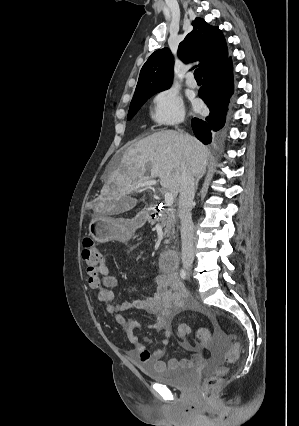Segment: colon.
<instances>
[{
	"mask_svg": "<svg viewBox=\"0 0 299 426\" xmlns=\"http://www.w3.org/2000/svg\"><path fill=\"white\" fill-rule=\"evenodd\" d=\"M102 256L103 254L99 245L91 238H86L82 247V259L86 265L89 286L96 292L100 301H103L104 299V290L101 286L100 278L97 274V269L101 263ZM190 332L191 329L189 325L185 323L180 324L177 328V334L179 338L183 340H186ZM216 332L218 335L222 334L217 324ZM197 338L201 344H207L210 341L211 334L207 329L200 328L197 331ZM228 339L231 342V348L226 355V360L228 363H233L238 357V345L235 336L229 335ZM226 374L227 368L225 366H220L204 380L200 388V398L203 401L208 402L213 399L218 391L223 377Z\"/></svg>",
	"mask_w": 299,
	"mask_h": 426,
	"instance_id": "1",
	"label": "colon"
}]
</instances>
